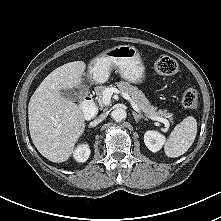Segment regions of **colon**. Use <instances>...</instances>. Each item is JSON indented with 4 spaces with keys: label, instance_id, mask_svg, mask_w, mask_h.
I'll return each instance as SVG.
<instances>
[{
    "label": "colon",
    "instance_id": "1",
    "mask_svg": "<svg viewBox=\"0 0 221 221\" xmlns=\"http://www.w3.org/2000/svg\"><path fill=\"white\" fill-rule=\"evenodd\" d=\"M155 69L162 75H174L178 72V63L172 57L161 55L155 61ZM182 104L189 110H195L199 106L198 92L193 88H188L183 92Z\"/></svg>",
    "mask_w": 221,
    "mask_h": 221
}]
</instances>
